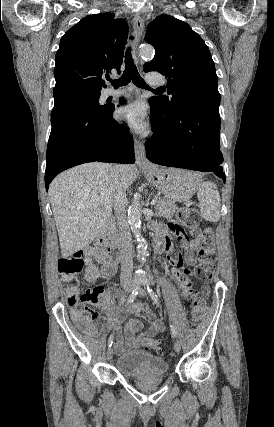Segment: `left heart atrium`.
Listing matches in <instances>:
<instances>
[{
	"mask_svg": "<svg viewBox=\"0 0 274 427\" xmlns=\"http://www.w3.org/2000/svg\"><path fill=\"white\" fill-rule=\"evenodd\" d=\"M117 117L135 131H142L146 127V114L143 106L138 102L120 107Z\"/></svg>",
	"mask_w": 274,
	"mask_h": 427,
	"instance_id": "left-heart-atrium-1",
	"label": "left heart atrium"
}]
</instances>
